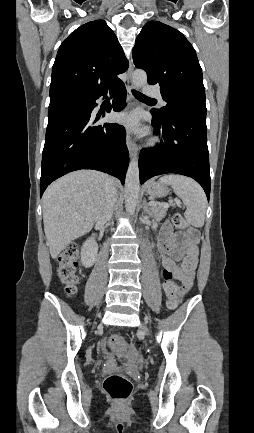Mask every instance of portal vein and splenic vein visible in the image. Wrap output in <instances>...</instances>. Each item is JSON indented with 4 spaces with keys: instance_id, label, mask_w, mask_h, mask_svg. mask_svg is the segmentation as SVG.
Masks as SVG:
<instances>
[{
    "instance_id": "obj_1",
    "label": "portal vein and splenic vein",
    "mask_w": 254,
    "mask_h": 433,
    "mask_svg": "<svg viewBox=\"0 0 254 433\" xmlns=\"http://www.w3.org/2000/svg\"><path fill=\"white\" fill-rule=\"evenodd\" d=\"M175 203L179 205L181 202H180V200H176ZM157 204H158L157 202H153V201L149 202L150 206H154V205H157ZM162 205L168 206V204H162Z\"/></svg>"
}]
</instances>
